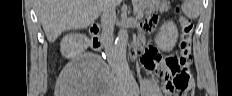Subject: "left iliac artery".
Returning a JSON list of instances; mask_svg holds the SVG:
<instances>
[{
	"label": "left iliac artery",
	"mask_w": 232,
	"mask_h": 96,
	"mask_svg": "<svg viewBox=\"0 0 232 96\" xmlns=\"http://www.w3.org/2000/svg\"><path fill=\"white\" fill-rule=\"evenodd\" d=\"M134 95L138 96L139 95V88L137 85H132V91H130Z\"/></svg>",
	"instance_id": "44dca946"
}]
</instances>
